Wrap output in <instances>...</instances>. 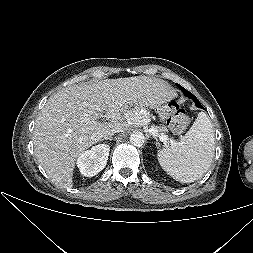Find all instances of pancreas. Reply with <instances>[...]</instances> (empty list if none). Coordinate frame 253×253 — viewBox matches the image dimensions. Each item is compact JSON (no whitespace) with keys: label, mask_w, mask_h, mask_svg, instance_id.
Masks as SVG:
<instances>
[{"label":"pancreas","mask_w":253,"mask_h":253,"mask_svg":"<svg viewBox=\"0 0 253 253\" xmlns=\"http://www.w3.org/2000/svg\"><path fill=\"white\" fill-rule=\"evenodd\" d=\"M156 129L159 131V132H165L167 131L166 127L162 126V127H156Z\"/></svg>","instance_id":"1"}]
</instances>
